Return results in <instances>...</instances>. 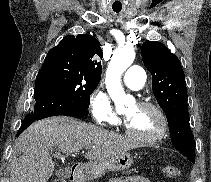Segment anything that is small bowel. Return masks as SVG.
Masks as SVG:
<instances>
[{
    "label": "small bowel",
    "mask_w": 211,
    "mask_h": 182,
    "mask_svg": "<svg viewBox=\"0 0 211 182\" xmlns=\"http://www.w3.org/2000/svg\"><path fill=\"white\" fill-rule=\"evenodd\" d=\"M110 182H150V181L142 176H127V177L113 178L111 179Z\"/></svg>",
    "instance_id": "1"
}]
</instances>
